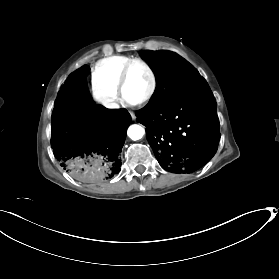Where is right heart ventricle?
Masks as SVG:
<instances>
[{
  "label": "right heart ventricle",
  "mask_w": 279,
  "mask_h": 279,
  "mask_svg": "<svg viewBox=\"0 0 279 279\" xmlns=\"http://www.w3.org/2000/svg\"><path fill=\"white\" fill-rule=\"evenodd\" d=\"M128 56H110L100 59L91 69L92 84H100L118 95V77L122 68L132 60Z\"/></svg>",
  "instance_id": "1"
}]
</instances>
